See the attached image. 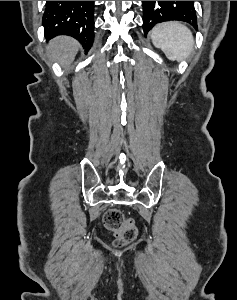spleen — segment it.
Returning <instances> with one entry per match:
<instances>
[{"instance_id": "spleen-1", "label": "spleen", "mask_w": 237, "mask_h": 300, "mask_svg": "<svg viewBox=\"0 0 237 300\" xmlns=\"http://www.w3.org/2000/svg\"><path fill=\"white\" fill-rule=\"evenodd\" d=\"M154 47L161 49L169 61H186L194 47L193 35L178 21L160 23L151 31Z\"/></svg>"}]
</instances>
